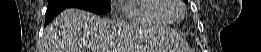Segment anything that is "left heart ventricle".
<instances>
[{"label": "left heart ventricle", "instance_id": "b2bd125f", "mask_svg": "<svg viewBox=\"0 0 261 52\" xmlns=\"http://www.w3.org/2000/svg\"><path fill=\"white\" fill-rule=\"evenodd\" d=\"M181 11L180 9H176L173 13H172V18L174 19H178L181 16Z\"/></svg>", "mask_w": 261, "mask_h": 52}]
</instances>
